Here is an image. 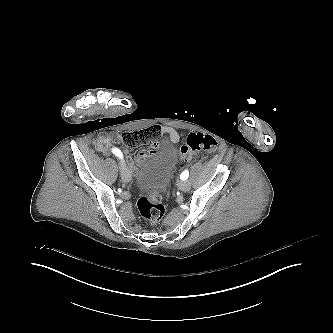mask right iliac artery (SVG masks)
<instances>
[{
    "label": "right iliac artery",
    "instance_id": "82829eb1",
    "mask_svg": "<svg viewBox=\"0 0 333 333\" xmlns=\"http://www.w3.org/2000/svg\"><path fill=\"white\" fill-rule=\"evenodd\" d=\"M116 156L118 157H122V153L119 149L117 148H114L113 151H112Z\"/></svg>",
    "mask_w": 333,
    "mask_h": 333
}]
</instances>
